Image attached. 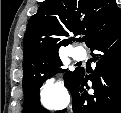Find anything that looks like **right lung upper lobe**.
I'll list each match as a JSON object with an SVG mask.
<instances>
[{
	"mask_svg": "<svg viewBox=\"0 0 121 113\" xmlns=\"http://www.w3.org/2000/svg\"><path fill=\"white\" fill-rule=\"evenodd\" d=\"M121 28V10L116 0H45L29 22L23 42V68L58 54L83 34L91 47Z\"/></svg>",
	"mask_w": 121,
	"mask_h": 113,
	"instance_id": "cb5924a9",
	"label": "right lung upper lobe"
}]
</instances>
